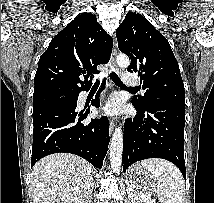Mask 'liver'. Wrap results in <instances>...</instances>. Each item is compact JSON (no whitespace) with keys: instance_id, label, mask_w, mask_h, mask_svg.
Returning a JSON list of instances; mask_svg holds the SVG:
<instances>
[{"instance_id":"obj_1","label":"liver","mask_w":214,"mask_h":203,"mask_svg":"<svg viewBox=\"0 0 214 203\" xmlns=\"http://www.w3.org/2000/svg\"><path fill=\"white\" fill-rule=\"evenodd\" d=\"M93 167L69 153H56L39 160L31 172L33 203H89Z\"/></svg>"}]
</instances>
